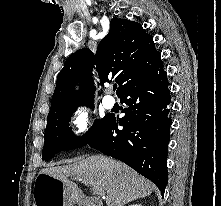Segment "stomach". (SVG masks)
Instances as JSON below:
<instances>
[{
	"label": "stomach",
	"instance_id": "obj_1",
	"mask_svg": "<svg viewBox=\"0 0 221 206\" xmlns=\"http://www.w3.org/2000/svg\"><path fill=\"white\" fill-rule=\"evenodd\" d=\"M81 200L82 194L76 187L50 175H38L34 191V206H73Z\"/></svg>",
	"mask_w": 221,
	"mask_h": 206
}]
</instances>
